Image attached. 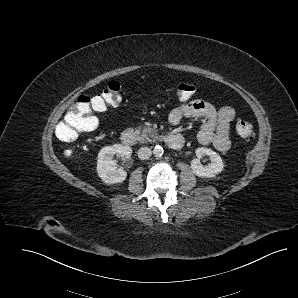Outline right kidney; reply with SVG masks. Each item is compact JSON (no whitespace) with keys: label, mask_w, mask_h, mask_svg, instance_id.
I'll list each match as a JSON object with an SVG mask.
<instances>
[{"label":"right kidney","mask_w":298,"mask_h":298,"mask_svg":"<svg viewBox=\"0 0 298 298\" xmlns=\"http://www.w3.org/2000/svg\"><path fill=\"white\" fill-rule=\"evenodd\" d=\"M114 155L129 159L132 155V148L122 144L103 147L98 153L97 173L100 179L106 184L121 183L127 177V172L117 168Z\"/></svg>","instance_id":"1"}]
</instances>
